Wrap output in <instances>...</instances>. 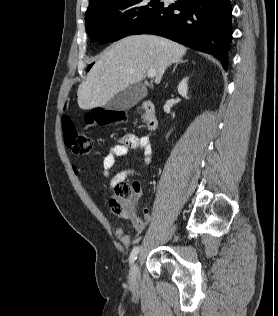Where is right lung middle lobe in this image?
<instances>
[{
  "mask_svg": "<svg viewBox=\"0 0 278 316\" xmlns=\"http://www.w3.org/2000/svg\"><path fill=\"white\" fill-rule=\"evenodd\" d=\"M160 0H110L86 11V32L93 42L109 43L131 35L161 5Z\"/></svg>",
  "mask_w": 278,
  "mask_h": 316,
  "instance_id": "dd1d6c3e",
  "label": "right lung middle lobe"
}]
</instances>
